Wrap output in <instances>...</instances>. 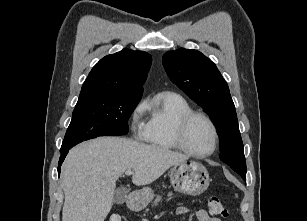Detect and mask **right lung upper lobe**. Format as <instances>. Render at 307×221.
<instances>
[{"instance_id":"right-lung-upper-lobe-1","label":"right lung upper lobe","mask_w":307,"mask_h":221,"mask_svg":"<svg viewBox=\"0 0 307 221\" xmlns=\"http://www.w3.org/2000/svg\"><path fill=\"white\" fill-rule=\"evenodd\" d=\"M152 57L143 51L127 48L102 58L85 80L78 99L84 101L99 96L141 95Z\"/></svg>"}]
</instances>
